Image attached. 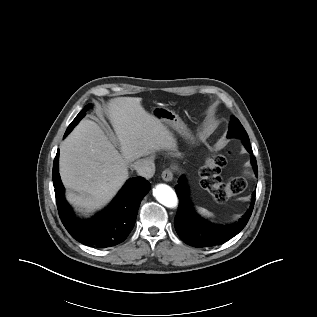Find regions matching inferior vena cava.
<instances>
[{"instance_id": "inferior-vena-cava-1", "label": "inferior vena cava", "mask_w": 317, "mask_h": 317, "mask_svg": "<svg viewBox=\"0 0 317 317\" xmlns=\"http://www.w3.org/2000/svg\"><path fill=\"white\" fill-rule=\"evenodd\" d=\"M138 175L150 179L155 173V164L152 159H139L132 164Z\"/></svg>"}]
</instances>
